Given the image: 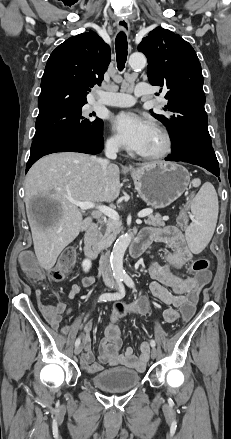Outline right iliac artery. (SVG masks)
<instances>
[{
	"mask_svg": "<svg viewBox=\"0 0 231 439\" xmlns=\"http://www.w3.org/2000/svg\"><path fill=\"white\" fill-rule=\"evenodd\" d=\"M122 281H123V279H117V284L119 286V292L101 294L99 296L98 301L99 302H106V301L119 300V299L123 298L125 295V289H124V285H123ZM79 344H80V338H77L75 341V346H78Z\"/></svg>",
	"mask_w": 231,
	"mask_h": 439,
	"instance_id": "82829eb1",
	"label": "right iliac artery"
}]
</instances>
